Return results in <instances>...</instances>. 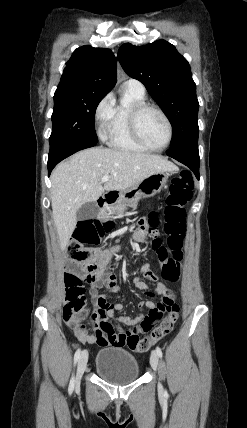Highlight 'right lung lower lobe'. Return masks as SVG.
<instances>
[{"instance_id": "98d812e1", "label": "right lung lower lobe", "mask_w": 247, "mask_h": 428, "mask_svg": "<svg viewBox=\"0 0 247 428\" xmlns=\"http://www.w3.org/2000/svg\"><path fill=\"white\" fill-rule=\"evenodd\" d=\"M94 143H83V142H60L50 145V151L48 155V175H50L53 168L61 160L66 157L89 147H93Z\"/></svg>"}]
</instances>
